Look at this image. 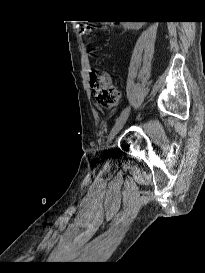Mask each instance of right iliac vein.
I'll return each mask as SVG.
<instances>
[{"label":"right iliac vein","instance_id":"right-iliac-vein-1","mask_svg":"<svg viewBox=\"0 0 205 273\" xmlns=\"http://www.w3.org/2000/svg\"><path fill=\"white\" fill-rule=\"evenodd\" d=\"M130 112H126L123 113L122 115H120V117L116 120L108 138H107V146L109 145V143L112 142V140L114 139V137L119 133V131L124 127L125 123L127 122L128 118H129Z\"/></svg>","mask_w":205,"mask_h":273}]
</instances>
